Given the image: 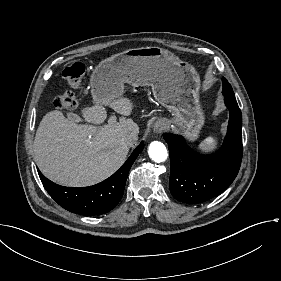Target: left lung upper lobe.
Here are the masks:
<instances>
[{"mask_svg":"<svg viewBox=\"0 0 281 281\" xmlns=\"http://www.w3.org/2000/svg\"><path fill=\"white\" fill-rule=\"evenodd\" d=\"M222 82H223V94H224V96L228 95V96L235 97L231 85L229 84V82L224 77L222 78Z\"/></svg>","mask_w":281,"mask_h":281,"instance_id":"1","label":"left lung upper lobe"}]
</instances>
